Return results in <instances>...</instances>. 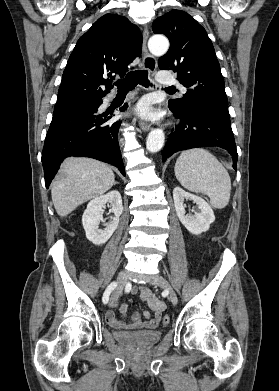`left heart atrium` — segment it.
<instances>
[{
	"label": "left heart atrium",
	"instance_id": "left-heart-atrium-1",
	"mask_svg": "<svg viewBox=\"0 0 279 391\" xmlns=\"http://www.w3.org/2000/svg\"><path fill=\"white\" fill-rule=\"evenodd\" d=\"M137 114L145 119H155L159 116V112L152 107L151 100L149 98H143L140 100L136 107Z\"/></svg>",
	"mask_w": 279,
	"mask_h": 391
}]
</instances>
